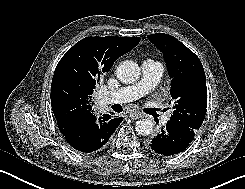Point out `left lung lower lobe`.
Masks as SVG:
<instances>
[{
    "label": "left lung lower lobe",
    "mask_w": 245,
    "mask_h": 189,
    "mask_svg": "<svg viewBox=\"0 0 245 189\" xmlns=\"http://www.w3.org/2000/svg\"><path fill=\"white\" fill-rule=\"evenodd\" d=\"M193 131L180 130L170 123L162 127L161 131L149 143V147L156 153L170 156L184 151L192 142Z\"/></svg>",
    "instance_id": "obj_1"
}]
</instances>
